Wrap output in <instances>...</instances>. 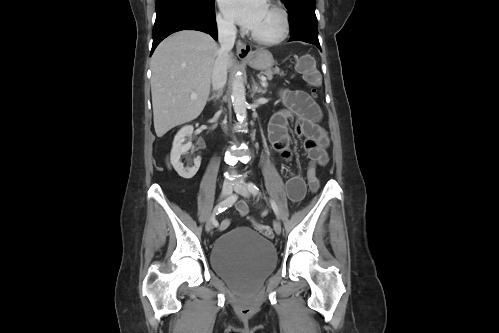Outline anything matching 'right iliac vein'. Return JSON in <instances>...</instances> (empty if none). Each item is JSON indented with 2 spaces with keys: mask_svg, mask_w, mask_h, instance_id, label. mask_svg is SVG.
<instances>
[{
  "mask_svg": "<svg viewBox=\"0 0 499 333\" xmlns=\"http://www.w3.org/2000/svg\"><path fill=\"white\" fill-rule=\"evenodd\" d=\"M232 189H233V186H232V183L229 182V181H226L223 186H222V191H221V199H224L228 196L231 195L232 193ZM213 228V220L212 219H209L205 225V229L207 232H210Z\"/></svg>",
  "mask_w": 499,
  "mask_h": 333,
  "instance_id": "1",
  "label": "right iliac vein"
}]
</instances>
